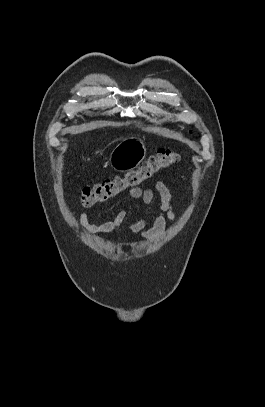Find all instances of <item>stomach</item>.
I'll use <instances>...</instances> for the list:
<instances>
[{"instance_id":"0dacf381","label":"stomach","mask_w":265,"mask_h":407,"mask_svg":"<svg viewBox=\"0 0 265 407\" xmlns=\"http://www.w3.org/2000/svg\"><path fill=\"white\" fill-rule=\"evenodd\" d=\"M145 156L146 148L143 141L130 139L121 142L114 148L109 161L114 170L125 172L136 168Z\"/></svg>"}]
</instances>
